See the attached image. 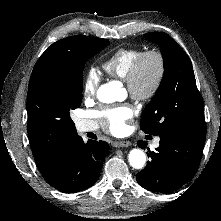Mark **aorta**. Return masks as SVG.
Wrapping results in <instances>:
<instances>
[{
  "label": "aorta",
  "instance_id": "obj_1",
  "mask_svg": "<svg viewBox=\"0 0 221 221\" xmlns=\"http://www.w3.org/2000/svg\"><path fill=\"white\" fill-rule=\"evenodd\" d=\"M121 94V88L115 81L101 85L97 92L99 101L103 103H113L118 100ZM128 161L131 167L141 169L145 166L146 155L141 149H132L128 155Z\"/></svg>",
  "mask_w": 221,
  "mask_h": 221
}]
</instances>
